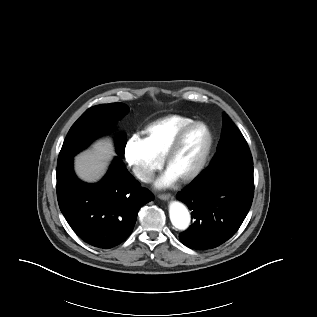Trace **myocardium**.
Segmentation results:
<instances>
[{"instance_id": "f54148a6", "label": "myocardium", "mask_w": 317, "mask_h": 317, "mask_svg": "<svg viewBox=\"0 0 317 317\" xmlns=\"http://www.w3.org/2000/svg\"><path fill=\"white\" fill-rule=\"evenodd\" d=\"M202 127L204 128L206 134H207V143L205 150L197 163V165L186 175L179 177V181L183 183H189L193 180H195L204 170L206 167L208 160L210 158V154L213 148V134L209 126L202 121H192L189 124H187L185 127H183L175 136L172 143L170 144L165 156H164V163L167 168H169L170 162L174 158V156L177 154L178 150L180 149L184 138L186 135L195 127Z\"/></svg>"}]
</instances>
